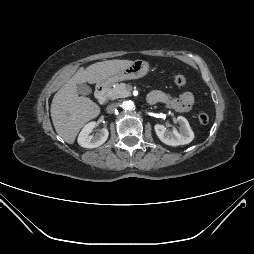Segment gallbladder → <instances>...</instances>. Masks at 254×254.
I'll return each instance as SVG.
<instances>
[{
    "mask_svg": "<svg viewBox=\"0 0 254 254\" xmlns=\"http://www.w3.org/2000/svg\"><path fill=\"white\" fill-rule=\"evenodd\" d=\"M77 91L80 95H89L92 92V89L87 84H78Z\"/></svg>",
    "mask_w": 254,
    "mask_h": 254,
    "instance_id": "obj_1",
    "label": "gallbladder"
}]
</instances>
